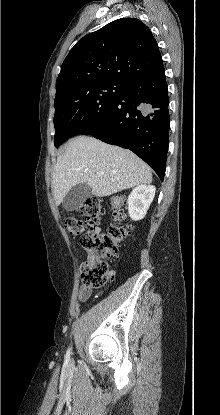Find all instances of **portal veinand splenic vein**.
<instances>
[{"label": "portal vein and splenic vein", "mask_w": 220, "mask_h": 415, "mask_svg": "<svg viewBox=\"0 0 220 415\" xmlns=\"http://www.w3.org/2000/svg\"><path fill=\"white\" fill-rule=\"evenodd\" d=\"M99 175H103V172H100Z\"/></svg>", "instance_id": "18ae733b"}]
</instances>
